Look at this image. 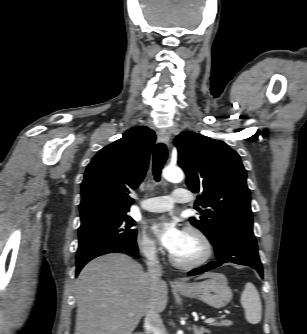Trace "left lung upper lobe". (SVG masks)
<instances>
[{
	"instance_id": "1",
	"label": "left lung upper lobe",
	"mask_w": 307,
	"mask_h": 334,
	"mask_svg": "<svg viewBox=\"0 0 307 334\" xmlns=\"http://www.w3.org/2000/svg\"><path fill=\"white\" fill-rule=\"evenodd\" d=\"M174 144L187 185L205 211L190 218L212 244L226 227H253L250 191L240 156L222 141L184 131Z\"/></svg>"
}]
</instances>
